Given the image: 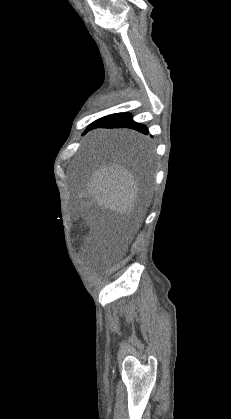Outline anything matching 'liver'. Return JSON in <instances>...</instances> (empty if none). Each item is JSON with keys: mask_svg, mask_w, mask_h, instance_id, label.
Wrapping results in <instances>:
<instances>
[{"mask_svg": "<svg viewBox=\"0 0 231 419\" xmlns=\"http://www.w3.org/2000/svg\"><path fill=\"white\" fill-rule=\"evenodd\" d=\"M114 137L141 142L144 138L134 131L119 130L111 133ZM135 148V147H133ZM88 194L101 207L120 213H130L138 198V180L133 171L119 163L103 165L94 171L87 183Z\"/></svg>", "mask_w": 231, "mask_h": 419, "instance_id": "liver-1", "label": "liver"}]
</instances>
